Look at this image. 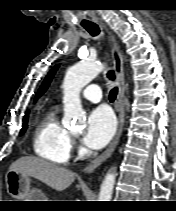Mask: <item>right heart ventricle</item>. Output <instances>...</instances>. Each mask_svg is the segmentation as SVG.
I'll list each match as a JSON object with an SVG mask.
<instances>
[{"mask_svg": "<svg viewBox=\"0 0 176 211\" xmlns=\"http://www.w3.org/2000/svg\"><path fill=\"white\" fill-rule=\"evenodd\" d=\"M32 144L34 153L44 160L56 164L69 160L72 140L59 122L55 109L46 112L36 124Z\"/></svg>", "mask_w": 176, "mask_h": 211, "instance_id": "1", "label": "right heart ventricle"}]
</instances>
